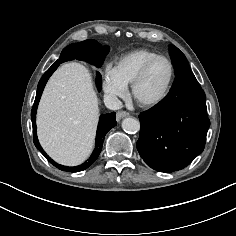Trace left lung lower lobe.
<instances>
[{"label":"left lung lower lobe","instance_id":"0a47b994","mask_svg":"<svg viewBox=\"0 0 236 236\" xmlns=\"http://www.w3.org/2000/svg\"><path fill=\"white\" fill-rule=\"evenodd\" d=\"M139 119L137 149L149 167L177 171L202 153L210 120L204 91L191 69L177 73L168 95Z\"/></svg>","mask_w":236,"mask_h":236}]
</instances>
